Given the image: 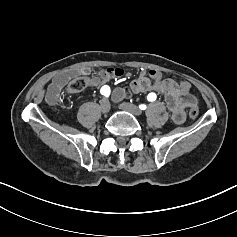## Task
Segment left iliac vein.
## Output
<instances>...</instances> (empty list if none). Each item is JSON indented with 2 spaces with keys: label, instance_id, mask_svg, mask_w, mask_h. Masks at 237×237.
<instances>
[{
  "label": "left iliac vein",
  "instance_id": "obj_1",
  "mask_svg": "<svg viewBox=\"0 0 237 237\" xmlns=\"http://www.w3.org/2000/svg\"><path fill=\"white\" fill-rule=\"evenodd\" d=\"M120 109L123 111L130 112L135 116H140L142 114L141 109H139L138 107H136L130 103H126V102H123L120 104Z\"/></svg>",
  "mask_w": 237,
  "mask_h": 237
}]
</instances>
